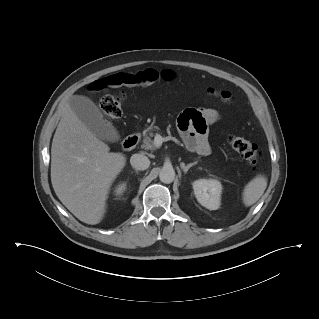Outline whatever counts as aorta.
I'll return each mask as SVG.
<instances>
[{
  "label": "aorta",
  "mask_w": 319,
  "mask_h": 319,
  "mask_svg": "<svg viewBox=\"0 0 319 319\" xmlns=\"http://www.w3.org/2000/svg\"><path fill=\"white\" fill-rule=\"evenodd\" d=\"M159 179L161 182L165 184L172 183L173 180L175 179L174 169L170 166L163 167L159 173Z\"/></svg>",
  "instance_id": "aorta-1"
}]
</instances>
